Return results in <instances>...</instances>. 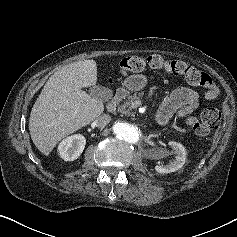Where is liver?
<instances>
[{
    "label": "liver",
    "instance_id": "6515ba94",
    "mask_svg": "<svg viewBox=\"0 0 237 237\" xmlns=\"http://www.w3.org/2000/svg\"><path fill=\"white\" fill-rule=\"evenodd\" d=\"M96 83L94 60L65 65L49 77L29 118L31 139L41 153L48 156L61 139L103 113L102 100L82 90Z\"/></svg>",
    "mask_w": 237,
    "mask_h": 237
}]
</instances>
